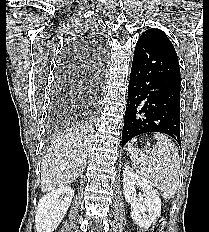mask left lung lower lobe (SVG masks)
I'll return each instance as SVG.
<instances>
[{
  "mask_svg": "<svg viewBox=\"0 0 209 232\" xmlns=\"http://www.w3.org/2000/svg\"><path fill=\"white\" fill-rule=\"evenodd\" d=\"M180 68L177 54L158 41L138 40L128 86L122 147L160 132L180 142Z\"/></svg>",
  "mask_w": 209,
  "mask_h": 232,
  "instance_id": "left-lung-lower-lobe-1",
  "label": "left lung lower lobe"
}]
</instances>
